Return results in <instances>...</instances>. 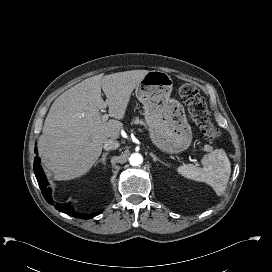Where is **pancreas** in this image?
I'll return each instance as SVG.
<instances>
[{
    "label": "pancreas",
    "mask_w": 272,
    "mask_h": 272,
    "mask_svg": "<svg viewBox=\"0 0 272 272\" xmlns=\"http://www.w3.org/2000/svg\"><path fill=\"white\" fill-rule=\"evenodd\" d=\"M133 123L136 124V125H138V124L145 125L144 121H142L138 117H136V118L133 119Z\"/></svg>",
    "instance_id": "pancreas-1"
}]
</instances>
